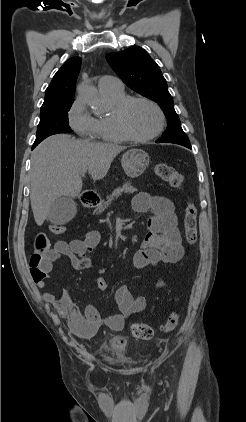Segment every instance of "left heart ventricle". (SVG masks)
Segmentation results:
<instances>
[{
    "mask_svg": "<svg viewBox=\"0 0 246 422\" xmlns=\"http://www.w3.org/2000/svg\"><path fill=\"white\" fill-rule=\"evenodd\" d=\"M126 121L135 135L147 136L158 128L159 116L151 105L135 102L127 110Z\"/></svg>",
    "mask_w": 246,
    "mask_h": 422,
    "instance_id": "b2bd125f",
    "label": "left heart ventricle"
}]
</instances>
